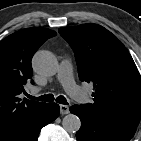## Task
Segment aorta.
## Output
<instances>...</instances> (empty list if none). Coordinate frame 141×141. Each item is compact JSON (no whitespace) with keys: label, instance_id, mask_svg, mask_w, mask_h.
Masks as SVG:
<instances>
[{"label":"aorta","instance_id":"762f6f07","mask_svg":"<svg viewBox=\"0 0 141 141\" xmlns=\"http://www.w3.org/2000/svg\"><path fill=\"white\" fill-rule=\"evenodd\" d=\"M32 66L35 72L44 76H53L58 70V62L55 56L46 50L35 53L32 59ZM63 128L69 133L77 132L81 127V121L74 114L66 115L62 120Z\"/></svg>","mask_w":141,"mask_h":141}]
</instances>
